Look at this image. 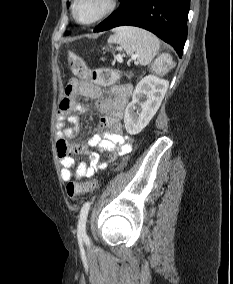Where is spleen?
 <instances>
[{"instance_id":"1","label":"spleen","mask_w":233,"mask_h":284,"mask_svg":"<svg viewBox=\"0 0 233 284\" xmlns=\"http://www.w3.org/2000/svg\"><path fill=\"white\" fill-rule=\"evenodd\" d=\"M109 43H117L128 55H135L141 65H148L157 55L160 42L152 33L131 26H122L115 29V34L108 39ZM169 57L168 66L172 64L170 56L163 54L158 61L157 70L159 72L166 71V67H162L161 63Z\"/></svg>"}]
</instances>
